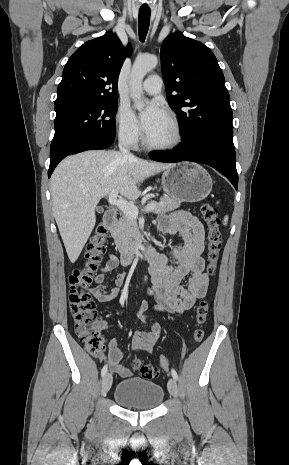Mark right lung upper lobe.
<instances>
[{"label": "right lung upper lobe", "mask_w": 289, "mask_h": 465, "mask_svg": "<svg viewBox=\"0 0 289 465\" xmlns=\"http://www.w3.org/2000/svg\"><path fill=\"white\" fill-rule=\"evenodd\" d=\"M130 45L124 49L114 33L80 46L67 61L57 89L56 105L117 99L118 77Z\"/></svg>", "instance_id": "obj_1"}]
</instances>
